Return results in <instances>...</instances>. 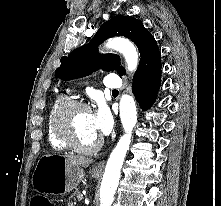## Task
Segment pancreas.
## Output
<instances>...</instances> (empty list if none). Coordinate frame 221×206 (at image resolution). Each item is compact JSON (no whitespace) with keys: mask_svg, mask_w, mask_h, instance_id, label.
<instances>
[{"mask_svg":"<svg viewBox=\"0 0 221 206\" xmlns=\"http://www.w3.org/2000/svg\"><path fill=\"white\" fill-rule=\"evenodd\" d=\"M79 195H81L80 191L76 190V191L71 195L70 198H74V199H75V197H78ZM74 205H75V203H72V202H69V203H68V206H74Z\"/></svg>","mask_w":221,"mask_h":206,"instance_id":"cf45deb5","label":"pancreas"}]
</instances>
